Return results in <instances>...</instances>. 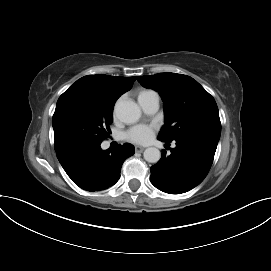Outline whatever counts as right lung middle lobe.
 Masks as SVG:
<instances>
[{"instance_id":"1","label":"right lung middle lobe","mask_w":271,"mask_h":271,"mask_svg":"<svg viewBox=\"0 0 271 271\" xmlns=\"http://www.w3.org/2000/svg\"><path fill=\"white\" fill-rule=\"evenodd\" d=\"M113 103L71 93L57 102L53 115L55 149L71 152L101 144L111 133Z\"/></svg>"}]
</instances>
